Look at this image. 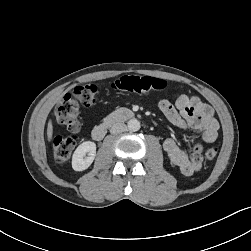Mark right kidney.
<instances>
[{"label":"right kidney","mask_w":251,"mask_h":251,"mask_svg":"<svg viewBox=\"0 0 251 251\" xmlns=\"http://www.w3.org/2000/svg\"><path fill=\"white\" fill-rule=\"evenodd\" d=\"M95 156L96 144L91 141L83 142L74 151L72 156V168L75 171L86 170L94 161Z\"/></svg>","instance_id":"right-kidney-1"}]
</instances>
